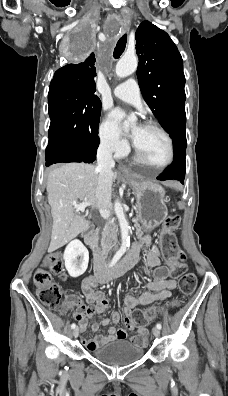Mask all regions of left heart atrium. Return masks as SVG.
<instances>
[{"mask_svg":"<svg viewBox=\"0 0 228 396\" xmlns=\"http://www.w3.org/2000/svg\"><path fill=\"white\" fill-rule=\"evenodd\" d=\"M110 118L114 126L119 129L124 118V113L121 110L116 109L111 113ZM131 137L133 138V135H131Z\"/></svg>","mask_w":228,"mask_h":396,"instance_id":"left-heart-atrium-1","label":"left heart atrium"}]
</instances>
